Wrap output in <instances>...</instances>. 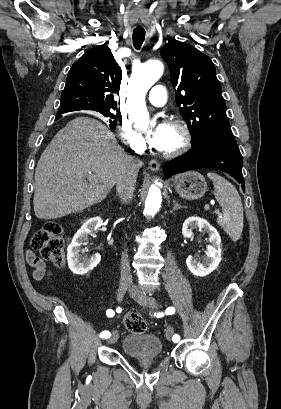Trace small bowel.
Here are the masks:
<instances>
[{
	"mask_svg": "<svg viewBox=\"0 0 281 409\" xmlns=\"http://www.w3.org/2000/svg\"><path fill=\"white\" fill-rule=\"evenodd\" d=\"M23 255L25 259H28L27 265L34 268V273L32 276L34 282H41L45 274L48 278L53 276V271L49 270L46 272L44 261L36 256L33 250H25ZM41 273H43V276Z\"/></svg>",
	"mask_w": 281,
	"mask_h": 409,
	"instance_id": "c3829d8e",
	"label": "small bowel"
}]
</instances>
